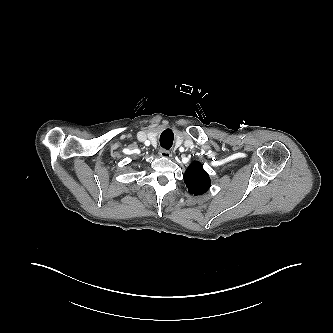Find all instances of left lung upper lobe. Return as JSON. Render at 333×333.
<instances>
[{"label": "left lung upper lobe", "mask_w": 333, "mask_h": 333, "mask_svg": "<svg viewBox=\"0 0 333 333\" xmlns=\"http://www.w3.org/2000/svg\"><path fill=\"white\" fill-rule=\"evenodd\" d=\"M184 181L188 191L194 195L205 193L211 183L208 173L199 162H194L187 168Z\"/></svg>", "instance_id": "obj_1"}]
</instances>
